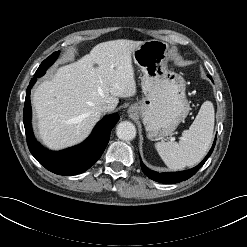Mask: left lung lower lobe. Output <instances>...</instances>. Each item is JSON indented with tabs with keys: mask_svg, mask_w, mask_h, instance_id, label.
<instances>
[{
	"mask_svg": "<svg viewBox=\"0 0 247 247\" xmlns=\"http://www.w3.org/2000/svg\"><path fill=\"white\" fill-rule=\"evenodd\" d=\"M215 142H216V138L207 156L203 159V161L199 165H197L192 169L181 172H173V173H158L148 169L142 162H141V169L144 172V174L147 175L150 179L160 183L173 184V183L185 181L189 179L191 176H193L204 165L206 160L213 152Z\"/></svg>",
	"mask_w": 247,
	"mask_h": 247,
	"instance_id": "left-lung-lower-lobe-1",
	"label": "left lung lower lobe"
}]
</instances>
